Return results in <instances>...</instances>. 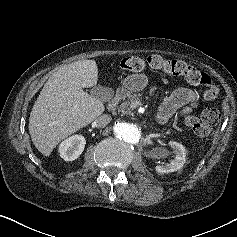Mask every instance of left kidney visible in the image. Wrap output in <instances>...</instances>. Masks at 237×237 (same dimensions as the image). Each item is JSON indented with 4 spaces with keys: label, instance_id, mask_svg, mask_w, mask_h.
Masks as SVG:
<instances>
[{
    "label": "left kidney",
    "instance_id": "obj_1",
    "mask_svg": "<svg viewBox=\"0 0 237 237\" xmlns=\"http://www.w3.org/2000/svg\"><path fill=\"white\" fill-rule=\"evenodd\" d=\"M169 146L173 149L175 157L166 165L156 166V171L159 173H169V172L177 171L185 163V159H186L185 147L182 144L175 141H170Z\"/></svg>",
    "mask_w": 237,
    "mask_h": 237
}]
</instances>
